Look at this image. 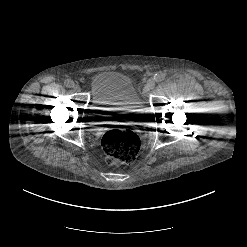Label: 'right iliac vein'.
<instances>
[{"instance_id": "obj_1", "label": "right iliac vein", "mask_w": 247, "mask_h": 247, "mask_svg": "<svg viewBox=\"0 0 247 247\" xmlns=\"http://www.w3.org/2000/svg\"><path fill=\"white\" fill-rule=\"evenodd\" d=\"M73 89H74V91H76V92H79V91L81 90L80 86L77 85V84L73 86Z\"/></svg>"}]
</instances>
